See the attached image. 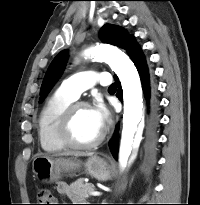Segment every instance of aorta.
I'll list each match as a JSON object with an SVG mask.
<instances>
[{"label":"aorta","mask_w":200,"mask_h":205,"mask_svg":"<svg viewBox=\"0 0 200 205\" xmlns=\"http://www.w3.org/2000/svg\"><path fill=\"white\" fill-rule=\"evenodd\" d=\"M83 54L97 61L106 62L120 79L124 101L120 159L122 160L133 149L131 163L136 157L143 132V127L139 125L143 115V98L138 71L131 59L122 50L111 44L90 47Z\"/></svg>","instance_id":"762f6f07"}]
</instances>
